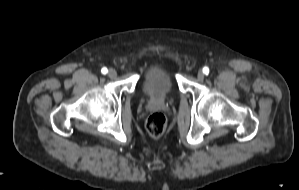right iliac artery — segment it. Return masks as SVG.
<instances>
[{
  "mask_svg": "<svg viewBox=\"0 0 299 190\" xmlns=\"http://www.w3.org/2000/svg\"><path fill=\"white\" fill-rule=\"evenodd\" d=\"M101 72H102V74H107L108 70H107L106 67H104V68L101 69Z\"/></svg>",
  "mask_w": 299,
  "mask_h": 190,
  "instance_id": "1",
  "label": "right iliac artery"
}]
</instances>
